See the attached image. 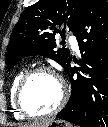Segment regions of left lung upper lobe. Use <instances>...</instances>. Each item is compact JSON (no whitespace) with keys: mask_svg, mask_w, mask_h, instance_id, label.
Masks as SVG:
<instances>
[{"mask_svg":"<svg viewBox=\"0 0 108 127\" xmlns=\"http://www.w3.org/2000/svg\"><path fill=\"white\" fill-rule=\"evenodd\" d=\"M86 0H39L28 7L15 25L7 53V67L11 69L22 57L42 55L58 62L64 69L70 61L67 48L56 50L55 34L65 33V26L73 31ZM64 26L63 32L60 30ZM100 67L90 68V77L98 87Z\"/></svg>","mask_w":108,"mask_h":127,"instance_id":"left-lung-upper-lobe-1","label":"left lung upper lobe"}]
</instances>
